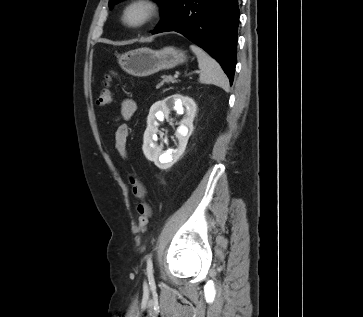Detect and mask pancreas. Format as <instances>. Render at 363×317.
Listing matches in <instances>:
<instances>
[{
	"mask_svg": "<svg viewBox=\"0 0 363 317\" xmlns=\"http://www.w3.org/2000/svg\"><path fill=\"white\" fill-rule=\"evenodd\" d=\"M163 80L161 81L160 85H163L164 83H175L176 80L171 76H163Z\"/></svg>",
	"mask_w": 363,
	"mask_h": 317,
	"instance_id": "pancreas-1",
	"label": "pancreas"
}]
</instances>
